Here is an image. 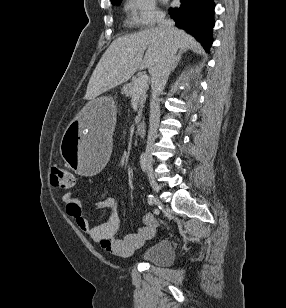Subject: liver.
Here are the masks:
<instances>
[{
  "instance_id": "obj_1",
  "label": "liver",
  "mask_w": 286,
  "mask_h": 308,
  "mask_svg": "<svg viewBox=\"0 0 286 308\" xmlns=\"http://www.w3.org/2000/svg\"><path fill=\"white\" fill-rule=\"evenodd\" d=\"M166 39V32L160 28H150L115 39L93 71L85 98L96 101L99 95L127 82L139 68H148L152 73L164 52ZM174 40L181 51L192 49L203 52L200 44L182 30L176 29Z\"/></svg>"
}]
</instances>
